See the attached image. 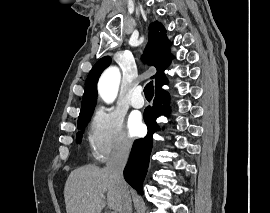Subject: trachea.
Segmentation results:
<instances>
[{
	"instance_id": "1",
	"label": "trachea",
	"mask_w": 270,
	"mask_h": 213,
	"mask_svg": "<svg viewBox=\"0 0 270 213\" xmlns=\"http://www.w3.org/2000/svg\"><path fill=\"white\" fill-rule=\"evenodd\" d=\"M144 94L146 99H152L154 96V86L152 82H149L144 88Z\"/></svg>"
}]
</instances>
